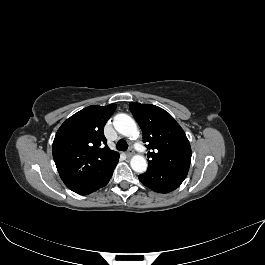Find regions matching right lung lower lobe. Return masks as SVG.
Listing matches in <instances>:
<instances>
[{"label": "right lung lower lobe", "mask_w": 265, "mask_h": 265, "mask_svg": "<svg viewBox=\"0 0 265 265\" xmlns=\"http://www.w3.org/2000/svg\"><path fill=\"white\" fill-rule=\"evenodd\" d=\"M118 160L113 162L109 169L103 171L99 176L95 177L91 181L77 187L72 190L75 193L80 195H88L101 187H104L112 177L115 166L117 165Z\"/></svg>", "instance_id": "obj_1"}]
</instances>
